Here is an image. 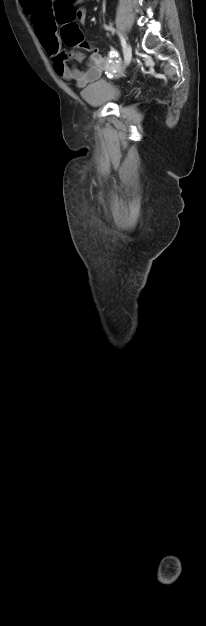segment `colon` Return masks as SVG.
I'll use <instances>...</instances> for the list:
<instances>
[{"mask_svg":"<svg viewBox=\"0 0 206 626\" xmlns=\"http://www.w3.org/2000/svg\"><path fill=\"white\" fill-rule=\"evenodd\" d=\"M84 0H56L55 7L57 11V21L61 25V37L63 42L72 48L86 47L82 32L76 23H74L73 6L82 3ZM33 10L34 8H29ZM72 57H79V53L74 51Z\"/></svg>","mask_w":206,"mask_h":626,"instance_id":"colon-1","label":"colon"}]
</instances>
